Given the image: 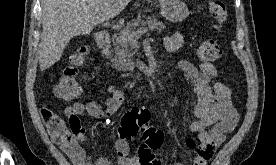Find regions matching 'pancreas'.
Wrapping results in <instances>:
<instances>
[{
  "instance_id": "cf45deb5",
  "label": "pancreas",
  "mask_w": 276,
  "mask_h": 165,
  "mask_svg": "<svg viewBox=\"0 0 276 165\" xmlns=\"http://www.w3.org/2000/svg\"><path fill=\"white\" fill-rule=\"evenodd\" d=\"M144 26H148L151 31L156 30L159 32L165 28V25L154 16L145 17V20H142L139 16L137 19L129 21L127 26L123 28L120 33L114 35L116 39L114 50L105 53L116 70L131 71L134 69V62L131 59L133 53L129 50L133 40H130L126 33L134 32L137 27Z\"/></svg>"
}]
</instances>
